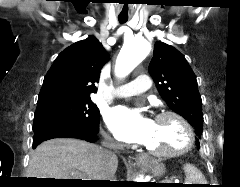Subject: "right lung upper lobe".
Wrapping results in <instances>:
<instances>
[{"label": "right lung upper lobe", "mask_w": 240, "mask_h": 187, "mask_svg": "<svg viewBox=\"0 0 240 187\" xmlns=\"http://www.w3.org/2000/svg\"><path fill=\"white\" fill-rule=\"evenodd\" d=\"M107 61L105 49L93 36L67 47L45 75L37 104L90 98L96 93L95 83Z\"/></svg>", "instance_id": "obj_1"}]
</instances>
